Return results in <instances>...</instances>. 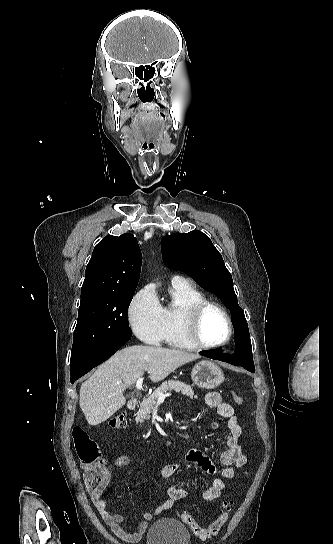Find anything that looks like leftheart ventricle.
<instances>
[{"instance_id": "obj_1", "label": "left heart ventricle", "mask_w": 333, "mask_h": 544, "mask_svg": "<svg viewBox=\"0 0 333 544\" xmlns=\"http://www.w3.org/2000/svg\"><path fill=\"white\" fill-rule=\"evenodd\" d=\"M200 337L208 344L222 342L228 335V326L224 315L216 308H208L200 322Z\"/></svg>"}]
</instances>
